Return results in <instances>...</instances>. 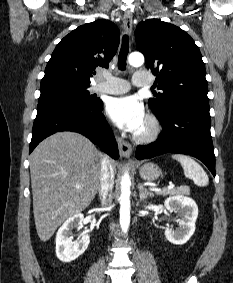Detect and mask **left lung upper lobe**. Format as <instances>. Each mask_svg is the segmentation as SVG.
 <instances>
[{
    "mask_svg": "<svg viewBox=\"0 0 233 283\" xmlns=\"http://www.w3.org/2000/svg\"><path fill=\"white\" fill-rule=\"evenodd\" d=\"M136 47L145 56L146 65L157 75L162 92L148 104L156 115L179 103H209L206 70L199 48L179 27L159 19L138 24Z\"/></svg>",
    "mask_w": 233,
    "mask_h": 283,
    "instance_id": "obj_1",
    "label": "left lung upper lobe"
}]
</instances>
